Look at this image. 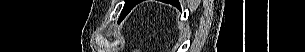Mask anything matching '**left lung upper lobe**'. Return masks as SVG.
<instances>
[{"instance_id":"left-lung-upper-lobe-1","label":"left lung upper lobe","mask_w":305,"mask_h":52,"mask_svg":"<svg viewBox=\"0 0 305 52\" xmlns=\"http://www.w3.org/2000/svg\"><path fill=\"white\" fill-rule=\"evenodd\" d=\"M168 3H171L173 5H177L176 2H168ZM137 4V0H127L124 7H123V10L121 12V15H120V18L119 20H122L125 18V16L131 11V9H133V7Z\"/></svg>"}]
</instances>
